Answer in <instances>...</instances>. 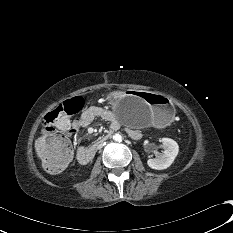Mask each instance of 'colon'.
Here are the masks:
<instances>
[{"instance_id":"5ec220e1","label":"colon","mask_w":233,"mask_h":233,"mask_svg":"<svg viewBox=\"0 0 233 233\" xmlns=\"http://www.w3.org/2000/svg\"><path fill=\"white\" fill-rule=\"evenodd\" d=\"M84 100L81 96L73 97L50 111L44 118L43 134L36 142V151L44 168L50 173L61 172L72 158L71 142L64 136L53 134L58 128H67V121L81 111Z\"/></svg>"}]
</instances>
